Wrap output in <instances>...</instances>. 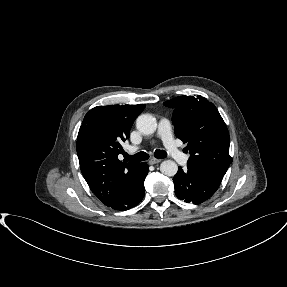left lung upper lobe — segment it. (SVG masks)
I'll list each match as a JSON object with an SVG mask.
<instances>
[{
	"instance_id": "5c2ea615",
	"label": "left lung upper lobe",
	"mask_w": 287,
	"mask_h": 287,
	"mask_svg": "<svg viewBox=\"0 0 287 287\" xmlns=\"http://www.w3.org/2000/svg\"><path fill=\"white\" fill-rule=\"evenodd\" d=\"M164 105L174 109L176 135L187 143V166L224 176L232 162L229 132L215 105L201 96H179Z\"/></svg>"
}]
</instances>
